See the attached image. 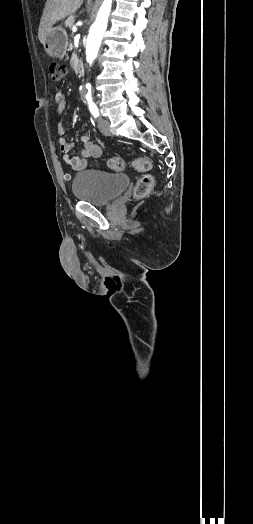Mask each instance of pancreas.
I'll return each instance as SVG.
<instances>
[{"label": "pancreas", "instance_id": "pancreas-1", "mask_svg": "<svg viewBox=\"0 0 253 524\" xmlns=\"http://www.w3.org/2000/svg\"><path fill=\"white\" fill-rule=\"evenodd\" d=\"M74 21H75V16H69L66 20H65V26L68 27L69 29L72 28L73 24H74Z\"/></svg>", "mask_w": 253, "mask_h": 524}]
</instances>
